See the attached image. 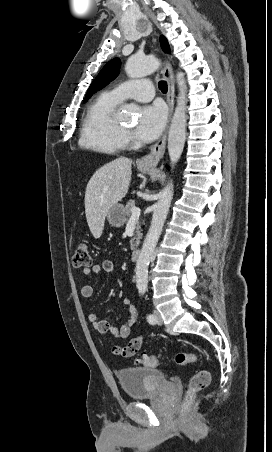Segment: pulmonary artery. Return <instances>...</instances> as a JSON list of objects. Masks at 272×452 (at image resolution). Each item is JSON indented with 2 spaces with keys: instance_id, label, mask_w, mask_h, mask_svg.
I'll use <instances>...</instances> for the list:
<instances>
[{
  "instance_id": "pulmonary-artery-1",
  "label": "pulmonary artery",
  "mask_w": 272,
  "mask_h": 452,
  "mask_svg": "<svg viewBox=\"0 0 272 452\" xmlns=\"http://www.w3.org/2000/svg\"><path fill=\"white\" fill-rule=\"evenodd\" d=\"M109 93L118 101L134 99L147 102L154 97L153 85L149 80L127 81L112 88Z\"/></svg>"
}]
</instances>
